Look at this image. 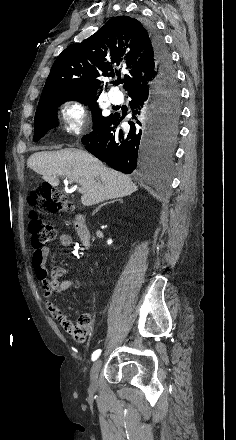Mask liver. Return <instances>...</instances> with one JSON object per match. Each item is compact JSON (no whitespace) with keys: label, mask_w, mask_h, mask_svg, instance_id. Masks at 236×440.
<instances>
[{"label":"liver","mask_w":236,"mask_h":440,"mask_svg":"<svg viewBox=\"0 0 236 440\" xmlns=\"http://www.w3.org/2000/svg\"><path fill=\"white\" fill-rule=\"evenodd\" d=\"M27 166L54 187L59 185V177L78 183L83 191L81 201L84 206L125 197L138 189L129 176L106 167L79 149L37 152L29 157Z\"/></svg>","instance_id":"6515ba94"}]
</instances>
